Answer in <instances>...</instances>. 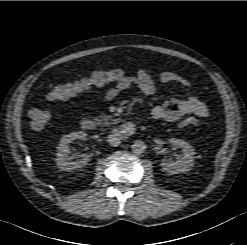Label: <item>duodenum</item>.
I'll return each mask as SVG.
<instances>
[{
    "mask_svg": "<svg viewBox=\"0 0 247 245\" xmlns=\"http://www.w3.org/2000/svg\"><path fill=\"white\" fill-rule=\"evenodd\" d=\"M81 126L85 130L92 131L96 129L97 123L91 118H84L81 121ZM134 131H135V124L132 122H126L121 124L119 127H117L113 131V134L120 139H124L130 137L134 133Z\"/></svg>",
    "mask_w": 247,
    "mask_h": 245,
    "instance_id": "obj_1",
    "label": "duodenum"
}]
</instances>
